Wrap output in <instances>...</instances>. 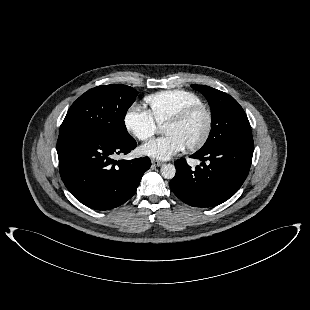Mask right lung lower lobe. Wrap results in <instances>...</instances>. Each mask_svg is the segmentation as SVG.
Here are the masks:
<instances>
[{
    "mask_svg": "<svg viewBox=\"0 0 310 310\" xmlns=\"http://www.w3.org/2000/svg\"><path fill=\"white\" fill-rule=\"evenodd\" d=\"M136 145L133 137L115 141L81 132L60 134L57 153L65 186L89 208L108 210L122 205L135 194L151 162L148 157L113 158L129 153Z\"/></svg>",
    "mask_w": 310,
    "mask_h": 310,
    "instance_id": "right-lung-lower-lobe-1",
    "label": "right lung lower lobe"
}]
</instances>
